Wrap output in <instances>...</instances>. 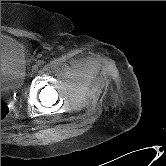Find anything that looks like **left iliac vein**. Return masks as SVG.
Returning <instances> with one entry per match:
<instances>
[{"mask_svg": "<svg viewBox=\"0 0 166 166\" xmlns=\"http://www.w3.org/2000/svg\"><path fill=\"white\" fill-rule=\"evenodd\" d=\"M37 69H38V66H37V65H34V66L32 67V71H33V72H36Z\"/></svg>", "mask_w": 166, "mask_h": 166, "instance_id": "1", "label": "left iliac vein"}]
</instances>
